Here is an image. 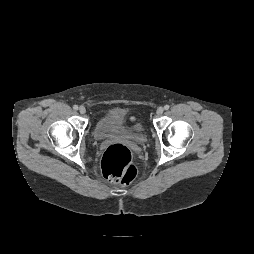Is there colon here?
I'll use <instances>...</instances> for the list:
<instances>
[{"label": "colon", "instance_id": "obj_1", "mask_svg": "<svg viewBox=\"0 0 254 254\" xmlns=\"http://www.w3.org/2000/svg\"><path fill=\"white\" fill-rule=\"evenodd\" d=\"M102 170L107 180L123 185L130 184L137 175L130 149L120 143L107 147L102 157Z\"/></svg>", "mask_w": 254, "mask_h": 254}]
</instances>
